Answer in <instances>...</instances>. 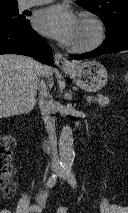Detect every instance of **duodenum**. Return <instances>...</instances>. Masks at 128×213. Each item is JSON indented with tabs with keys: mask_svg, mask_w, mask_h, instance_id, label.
<instances>
[{
	"mask_svg": "<svg viewBox=\"0 0 128 213\" xmlns=\"http://www.w3.org/2000/svg\"><path fill=\"white\" fill-rule=\"evenodd\" d=\"M45 144H46V147H47L48 149H50V147H51V146H50V143H49L48 141H46Z\"/></svg>",
	"mask_w": 128,
	"mask_h": 213,
	"instance_id": "obj_1",
	"label": "duodenum"
}]
</instances>
